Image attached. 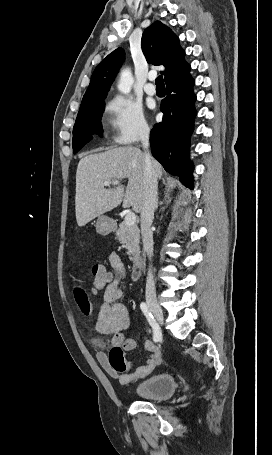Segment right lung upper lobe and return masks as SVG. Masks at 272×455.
<instances>
[{"label": "right lung upper lobe", "instance_id": "cb5924a9", "mask_svg": "<svg viewBox=\"0 0 272 455\" xmlns=\"http://www.w3.org/2000/svg\"><path fill=\"white\" fill-rule=\"evenodd\" d=\"M141 47L148 63L166 67V70L161 72L165 76L166 84L190 71V65L184 59L185 52L180 47L179 38L160 21L154 22L145 29ZM124 56V50L118 48L95 68L79 111L104 103Z\"/></svg>", "mask_w": 272, "mask_h": 455}]
</instances>
